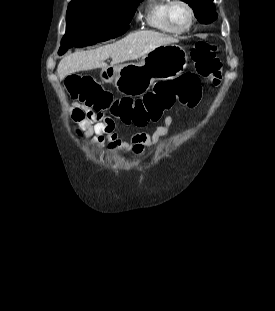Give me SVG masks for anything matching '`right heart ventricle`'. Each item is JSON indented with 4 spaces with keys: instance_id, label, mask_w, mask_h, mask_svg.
<instances>
[{
    "instance_id": "obj_1",
    "label": "right heart ventricle",
    "mask_w": 275,
    "mask_h": 311,
    "mask_svg": "<svg viewBox=\"0 0 275 311\" xmlns=\"http://www.w3.org/2000/svg\"><path fill=\"white\" fill-rule=\"evenodd\" d=\"M170 0H148L143 10V20L152 29L167 33H179L173 29L166 19V8Z\"/></svg>"
}]
</instances>
